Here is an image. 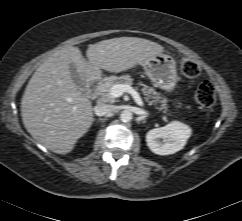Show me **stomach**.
Here are the masks:
<instances>
[{
    "label": "stomach",
    "instance_id": "obj_1",
    "mask_svg": "<svg viewBox=\"0 0 242 221\" xmlns=\"http://www.w3.org/2000/svg\"><path fill=\"white\" fill-rule=\"evenodd\" d=\"M145 74L157 88L171 92L176 87L178 76L172 56L157 54L144 64Z\"/></svg>",
    "mask_w": 242,
    "mask_h": 221
}]
</instances>
